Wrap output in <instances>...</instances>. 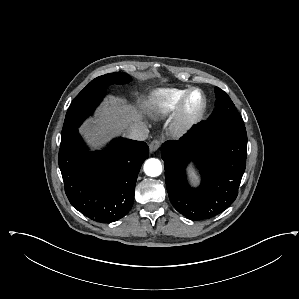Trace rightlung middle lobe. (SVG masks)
<instances>
[{"instance_id":"1","label":"right lung middle lobe","mask_w":299,"mask_h":299,"mask_svg":"<svg viewBox=\"0 0 299 299\" xmlns=\"http://www.w3.org/2000/svg\"><path fill=\"white\" fill-rule=\"evenodd\" d=\"M130 79L129 75L117 72L99 76L91 81L71 103L65 117L61 141L66 140L93 113L110 84H125Z\"/></svg>"}]
</instances>
